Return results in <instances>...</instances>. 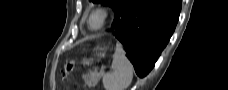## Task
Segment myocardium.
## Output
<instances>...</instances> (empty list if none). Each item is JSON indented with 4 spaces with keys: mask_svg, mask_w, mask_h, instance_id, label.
<instances>
[{
    "mask_svg": "<svg viewBox=\"0 0 228 90\" xmlns=\"http://www.w3.org/2000/svg\"><path fill=\"white\" fill-rule=\"evenodd\" d=\"M94 17L99 18V24L95 27L91 26V20ZM107 19H108L107 11L103 8H96L89 14L88 21H87L88 28L92 31H99L105 26Z\"/></svg>",
    "mask_w": 228,
    "mask_h": 90,
    "instance_id": "obj_1",
    "label": "myocardium"
}]
</instances>
